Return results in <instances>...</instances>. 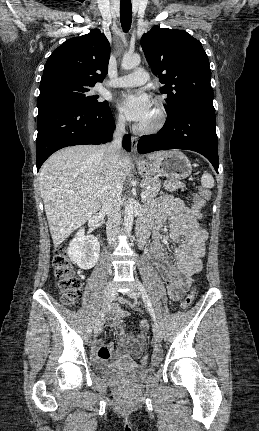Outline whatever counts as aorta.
Masks as SVG:
<instances>
[{
    "label": "aorta",
    "mask_w": 259,
    "mask_h": 431,
    "mask_svg": "<svg viewBox=\"0 0 259 431\" xmlns=\"http://www.w3.org/2000/svg\"><path fill=\"white\" fill-rule=\"evenodd\" d=\"M141 62V58L138 54L123 56L121 67L124 70H131L137 67ZM134 220V205L133 201L127 202L124 211V226L127 233H130L133 227Z\"/></svg>",
    "instance_id": "762f6f07"
}]
</instances>
